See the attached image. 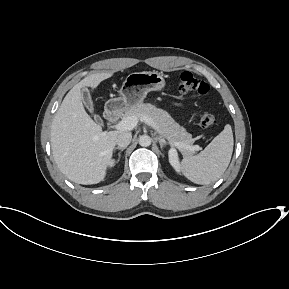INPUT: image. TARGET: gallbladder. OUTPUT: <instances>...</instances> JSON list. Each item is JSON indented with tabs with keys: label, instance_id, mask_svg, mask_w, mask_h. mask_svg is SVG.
<instances>
[{
	"label": "gallbladder",
	"instance_id": "1",
	"mask_svg": "<svg viewBox=\"0 0 289 289\" xmlns=\"http://www.w3.org/2000/svg\"><path fill=\"white\" fill-rule=\"evenodd\" d=\"M81 96H82L83 102L85 103L86 107L89 109V111L92 112V110H93V102L91 100V96H90V93H89L87 88H85V87L82 88ZM94 119L98 123L102 122L101 118L98 115L94 116Z\"/></svg>",
	"mask_w": 289,
	"mask_h": 289
}]
</instances>
